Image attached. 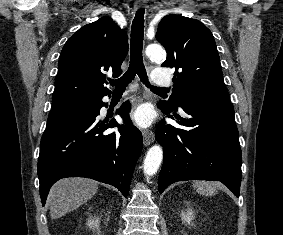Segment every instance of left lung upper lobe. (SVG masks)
<instances>
[{"label": "left lung upper lobe", "instance_id": "left-lung-upper-lobe-1", "mask_svg": "<svg viewBox=\"0 0 283 235\" xmlns=\"http://www.w3.org/2000/svg\"><path fill=\"white\" fill-rule=\"evenodd\" d=\"M156 39L167 51L164 67H175L172 95L159 105L177 110L180 104H232L211 31L200 21L180 15L165 16Z\"/></svg>", "mask_w": 283, "mask_h": 235}]
</instances>
